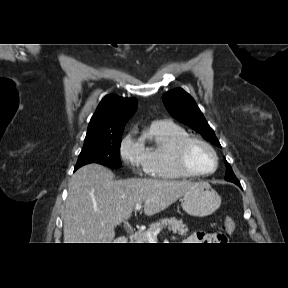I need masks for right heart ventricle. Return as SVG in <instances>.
I'll list each match as a JSON object with an SVG mask.
<instances>
[{
	"label": "right heart ventricle",
	"instance_id": "e07e8e85",
	"mask_svg": "<svg viewBox=\"0 0 288 288\" xmlns=\"http://www.w3.org/2000/svg\"><path fill=\"white\" fill-rule=\"evenodd\" d=\"M188 136L186 130L171 121L153 122L140 140L144 152V171L160 179H187L194 176L183 172L175 157L177 143Z\"/></svg>",
	"mask_w": 288,
	"mask_h": 288
}]
</instances>
